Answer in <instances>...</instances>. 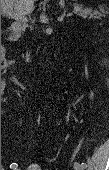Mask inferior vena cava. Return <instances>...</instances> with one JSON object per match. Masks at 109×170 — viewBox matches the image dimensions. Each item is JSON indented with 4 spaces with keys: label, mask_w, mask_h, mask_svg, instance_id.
Segmentation results:
<instances>
[{
    "label": "inferior vena cava",
    "mask_w": 109,
    "mask_h": 170,
    "mask_svg": "<svg viewBox=\"0 0 109 170\" xmlns=\"http://www.w3.org/2000/svg\"><path fill=\"white\" fill-rule=\"evenodd\" d=\"M27 59L29 60V55L27 54Z\"/></svg>",
    "instance_id": "obj_1"
}]
</instances>
